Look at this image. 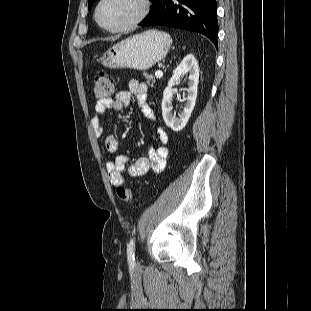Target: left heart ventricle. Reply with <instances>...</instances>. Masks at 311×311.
<instances>
[{
    "label": "left heart ventricle",
    "mask_w": 311,
    "mask_h": 311,
    "mask_svg": "<svg viewBox=\"0 0 311 311\" xmlns=\"http://www.w3.org/2000/svg\"><path fill=\"white\" fill-rule=\"evenodd\" d=\"M135 0H106L99 11L100 20L109 27H119L137 13Z\"/></svg>",
    "instance_id": "obj_1"
}]
</instances>
